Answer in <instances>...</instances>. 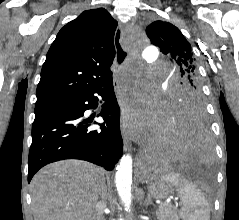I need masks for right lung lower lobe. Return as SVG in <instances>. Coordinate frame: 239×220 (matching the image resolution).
<instances>
[{
    "instance_id": "right-lung-lower-lobe-1",
    "label": "right lung lower lobe",
    "mask_w": 239,
    "mask_h": 220,
    "mask_svg": "<svg viewBox=\"0 0 239 220\" xmlns=\"http://www.w3.org/2000/svg\"><path fill=\"white\" fill-rule=\"evenodd\" d=\"M105 101L100 130H88L92 118L84 112ZM94 124H97L94 122ZM120 108L113 90L112 74L90 91L69 99L35 106L32 144L28 158V182L46 164L63 159H81L112 170L123 152Z\"/></svg>"
}]
</instances>
